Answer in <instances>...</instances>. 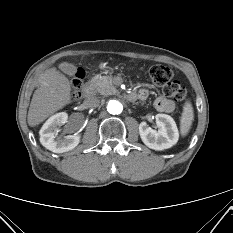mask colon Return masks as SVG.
I'll list each match as a JSON object with an SVG mask.
<instances>
[{"label": "colon", "instance_id": "1", "mask_svg": "<svg viewBox=\"0 0 233 233\" xmlns=\"http://www.w3.org/2000/svg\"><path fill=\"white\" fill-rule=\"evenodd\" d=\"M172 71L169 67L156 64L150 67L149 77L153 84L161 86L166 97L182 102L186 97V90L177 80L172 79ZM83 73L78 71L72 79L73 98L78 100L81 96Z\"/></svg>", "mask_w": 233, "mask_h": 233}]
</instances>
